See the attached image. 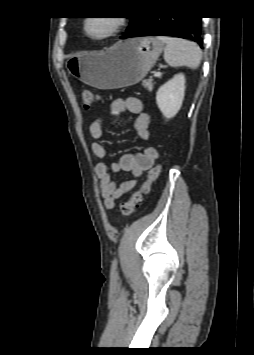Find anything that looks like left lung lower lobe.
Segmentation results:
<instances>
[{
  "label": "left lung lower lobe",
  "instance_id": "1",
  "mask_svg": "<svg viewBox=\"0 0 254 355\" xmlns=\"http://www.w3.org/2000/svg\"><path fill=\"white\" fill-rule=\"evenodd\" d=\"M167 35L195 41L203 47L201 17H138L121 38Z\"/></svg>",
  "mask_w": 254,
  "mask_h": 355
}]
</instances>
